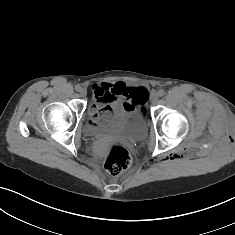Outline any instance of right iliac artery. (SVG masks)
I'll use <instances>...</instances> for the list:
<instances>
[{"mask_svg": "<svg viewBox=\"0 0 235 235\" xmlns=\"http://www.w3.org/2000/svg\"><path fill=\"white\" fill-rule=\"evenodd\" d=\"M75 90L79 92L81 90V86L80 85H76L75 86Z\"/></svg>", "mask_w": 235, "mask_h": 235, "instance_id": "obj_1", "label": "right iliac artery"}]
</instances>
